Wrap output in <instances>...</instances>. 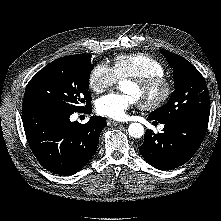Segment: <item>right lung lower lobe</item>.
<instances>
[{
    "instance_id": "98d812e1",
    "label": "right lung lower lobe",
    "mask_w": 221,
    "mask_h": 221,
    "mask_svg": "<svg viewBox=\"0 0 221 221\" xmlns=\"http://www.w3.org/2000/svg\"><path fill=\"white\" fill-rule=\"evenodd\" d=\"M92 107L83 111L90 113ZM73 112L47 107L22 108L28 143L39 163L48 171L72 175L95 153L105 118L93 116L86 124L71 122Z\"/></svg>"
}]
</instances>
